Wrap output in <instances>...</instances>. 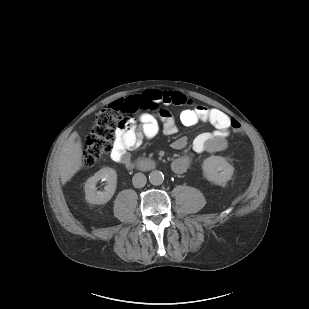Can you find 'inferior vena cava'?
<instances>
[{
  "mask_svg": "<svg viewBox=\"0 0 309 309\" xmlns=\"http://www.w3.org/2000/svg\"><path fill=\"white\" fill-rule=\"evenodd\" d=\"M147 178L143 173H136L133 176L132 183L135 188H142L146 185Z\"/></svg>",
  "mask_w": 309,
  "mask_h": 309,
  "instance_id": "obj_1",
  "label": "inferior vena cava"
}]
</instances>
